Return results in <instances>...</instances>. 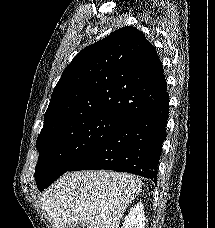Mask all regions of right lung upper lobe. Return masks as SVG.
<instances>
[{
  "label": "right lung upper lobe",
  "mask_w": 215,
  "mask_h": 228,
  "mask_svg": "<svg viewBox=\"0 0 215 228\" xmlns=\"http://www.w3.org/2000/svg\"><path fill=\"white\" fill-rule=\"evenodd\" d=\"M167 97L155 47L126 26L81 50L65 68L41 133L98 115L126 119Z\"/></svg>",
  "instance_id": "1"
}]
</instances>
